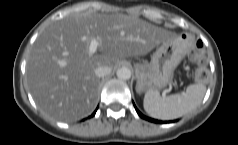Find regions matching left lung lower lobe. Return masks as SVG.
<instances>
[{
    "label": "left lung lower lobe",
    "mask_w": 238,
    "mask_h": 145,
    "mask_svg": "<svg viewBox=\"0 0 238 145\" xmlns=\"http://www.w3.org/2000/svg\"><path fill=\"white\" fill-rule=\"evenodd\" d=\"M134 107H135V109H136L138 115H139L141 118H143V119H145V120H148V121H150V122H154V123H163L162 121H158V120H155V119L148 118V117L144 116V115L136 108L135 105H134Z\"/></svg>",
    "instance_id": "left-lung-lower-lobe-1"
}]
</instances>
